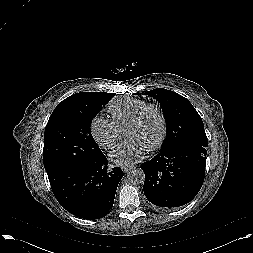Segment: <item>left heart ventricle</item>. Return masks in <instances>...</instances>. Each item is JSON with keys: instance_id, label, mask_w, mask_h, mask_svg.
Returning <instances> with one entry per match:
<instances>
[{"instance_id": "1", "label": "left heart ventricle", "mask_w": 253, "mask_h": 253, "mask_svg": "<svg viewBox=\"0 0 253 253\" xmlns=\"http://www.w3.org/2000/svg\"><path fill=\"white\" fill-rule=\"evenodd\" d=\"M159 131L160 117L156 110L150 109L135 126L126 129L124 135L127 140H137L148 149L156 142Z\"/></svg>"}]
</instances>
